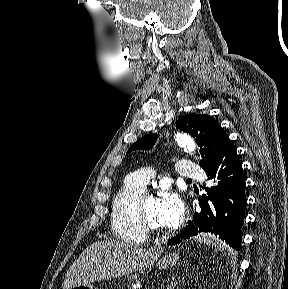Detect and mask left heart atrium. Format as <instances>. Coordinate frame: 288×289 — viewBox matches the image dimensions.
<instances>
[{
    "label": "left heart atrium",
    "mask_w": 288,
    "mask_h": 289,
    "mask_svg": "<svg viewBox=\"0 0 288 289\" xmlns=\"http://www.w3.org/2000/svg\"><path fill=\"white\" fill-rule=\"evenodd\" d=\"M158 201V220L164 226H176L183 215L181 199L172 191H165Z\"/></svg>",
    "instance_id": "39dd6f15"
}]
</instances>
